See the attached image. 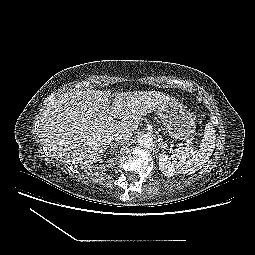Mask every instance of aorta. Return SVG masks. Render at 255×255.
Wrapping results in <instances>:
<instances>
[{"label": "aorta", "mask_w": 255, "mask_h": 255, "mask_svg": "<svg viewBox=\"0 0 255 255\" xmlns=\"http://www.w3.org/2000/svg\"><path fill=\"white\" fill-rule=\"evenodd\" d=\"M138 145L142 148L149 149L153 145V139L149 135L146 134L141 135L138 138Z\"/></svg>", "instance_id": "aorta-1"}]
</instances>
